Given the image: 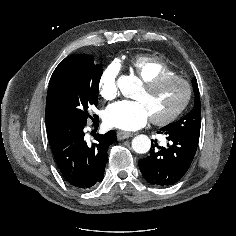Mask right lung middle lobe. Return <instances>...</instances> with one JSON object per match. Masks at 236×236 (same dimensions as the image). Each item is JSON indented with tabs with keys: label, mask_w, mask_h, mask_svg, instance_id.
Returning <instances> with one entry per match:
<instances>
[{
	"label": "right lung middle lobe",
	"mask_w": 236,
	"mask_h": 236,
	"mask_svg": "<svg viewBox=\"0 0 236 236\" xmlns=\"http://www.w3.org/2000/svg\"><path fill=\"white\" fill-rule=\"evenodd\" d=\"M67 58L47 93L48 102L65 130L85 126L89 119L96 118L91 110L98 102L102 75L101 66L94 64L90 55L76 54ZM62 134L58 131L48 132L49 142Z\"/></svg>",
	"instance_id": "1"
}]
</instances>
